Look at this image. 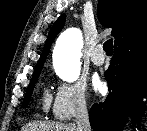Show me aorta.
I'll return each mask as SVG.
<instances>
[{"label": "aorta", "instance_id": "1", "mask_svg": "<svg viewBox=\"0 0 147 131\" xmlns=\"http://www.w3.org/2000/svg\"><path fill=\"white\" fill-rule=\"evenodd\" d=\"M82 47L83 38L79 29H68L59 36L53 51V65L63 81L71 83L78 79Z\"/></svg>", "mask_w": 147, "mask_h": 131}]
</instances>
